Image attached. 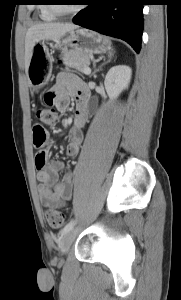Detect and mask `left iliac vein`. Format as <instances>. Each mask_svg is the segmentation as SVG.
I'll return each instance as SVG.
<instances>
[{
    "label": "left iliac vein",
    "instance_id": "4c4485c4",
    "mask_svg": "<svg viewBox=\"0 0 181 300\" xmlns=\"http://www.w3.org/2000/svg\"><path fill=\"white\" fill-rule=\"evenodd\" d=\"M75 238V230L72 228L68 231L61 240L60 249L63 254H66Z\"/></svg>",
    "mask_w": 181,
    "mask_h": 300
}]
</instances>
